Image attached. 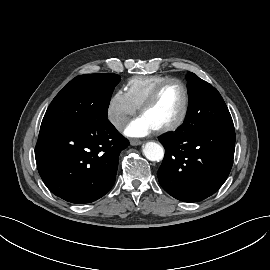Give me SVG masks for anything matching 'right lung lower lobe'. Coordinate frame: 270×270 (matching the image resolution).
Listing matches in <instances>:
<instances>
[{
  "label": "right lung lower lobe",
  "mask_w": 270,
  "mask_h": 270,
  "mask_svg": "<svg viewBox=\"0 0 270 270\" xmlns=\"http://www.w3.org/2000/svg\"><path fill=\"white\" fill-rule=\"evenodd\" d=\"M129 142L110 121L81 126L40 127L35 148L39 174L56 196L90 203L113 186L120 152Z\"/></svg>",
  "instance_id": "obj_1"
}]
</instances>
